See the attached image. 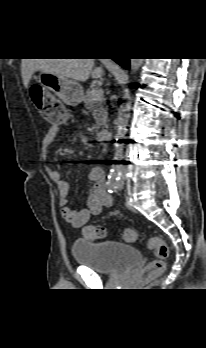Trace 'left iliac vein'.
Returning <instances> with one entry per match:
<instances>
[{
  "label": "left iliac vein",
  "mask_w": 206,
  "mask_h": 348,
  "mask_svg": "<svg viewBox=\"0 0 206 348\" xmlns=\"http://www.w3.org/2000/svg\"><path fill=\"white\" fill-rule=\"evenodd\" d=\"M123 186H124V179L122 178V179L118 182L117 188H118L119 190H121V189L123 188Z\"/></svg>",
  "instance_id": "1"
}]
</instances>
